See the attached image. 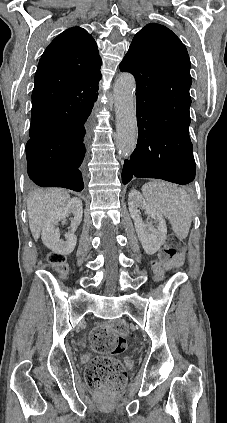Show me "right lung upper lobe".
<instances>
[{
	"instance_id": "right-lung-upper-lobe-1",
	"label": "right lung upper lobe",
	"mask_w": 227,
	"mask_h": 423,
	"mask_svg": "<svg viewBox=\"0 0 227 423\" xmlns=\"http://www.w3.org/2000/svg\"><path fill=\"white\" fill-rule=\"evenodd\" d=\"M101 63L97 44L86 30H65L50 43L39 61L32 102L97 97ZM60 125L53 120L32 123L30 138H41Z\"/></svg>"
}]
</instances>
